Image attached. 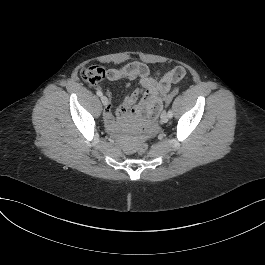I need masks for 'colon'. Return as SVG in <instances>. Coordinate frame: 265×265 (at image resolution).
Listing matches in <instances>:
<instances>
[{
	"label": "colon",
	"mask_w": 265,
	"mask_h": 265,
	"mask_svg": "<svg viewBox=\"0 0 265 265\" xmlns=\"http://www.w3.org/2000/svg\"><path fill=\"white\" fill-rule=\"evenodd\" d=\"M82 78L90 83V84H95L99 80H101L104 76V70L100 66H89L86 67L82 70L81 72ZM177 91L174 90L172 93L168 95L166 98V105H168L172 98L176 95ZM148 150V145L146 143H140L137 146V151L139 154H144Z\"/></svg>",
	"instance_id": "1"
}]
</instances>
